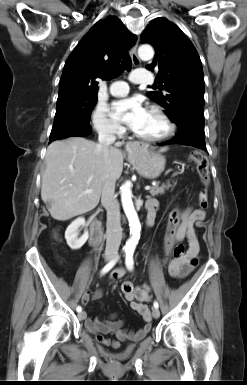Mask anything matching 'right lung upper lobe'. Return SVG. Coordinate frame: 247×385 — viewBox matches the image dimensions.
<instances>
[{
    "label": "right lung upper lobe",
    "instance_id": "obj_1",
    "mask_svg": "<svg viewBox=\"0 0 247 385\" xmlns=\"http://www.w3.org/2000/svg\"><path fill=\"white\" fill-rule=\"evenodd\" d=\"M137 37L115 16L98 21L68 57L61 76L59 94L97 93V77L110 80L118 71L122 51Z\"/></svg>",
    "mask_w": 247,
    "mask_h": 385
}]
</instances>
